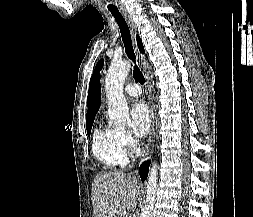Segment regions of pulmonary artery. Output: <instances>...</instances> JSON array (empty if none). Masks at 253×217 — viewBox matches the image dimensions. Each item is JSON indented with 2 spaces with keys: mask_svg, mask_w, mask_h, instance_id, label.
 Listing matches in <instances>:
<instances>
[{
  "mask_svg": "<svg viewBox=\"0 0 253 217\" xmlns=\"http://www.w3.org/2000/svg\"><path fill=\"white\" fill-rule=\"evenodd\" d=\"M124 91L127 95L137 97L141 94V89L136 83H129L125 86Z\"/></svg>",
  "mask_w": 253,
  "mask_h": 217,
  "instance_id": "1",
  "label": "pulmonary artery"
}]
</instances>
